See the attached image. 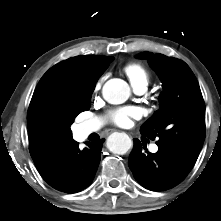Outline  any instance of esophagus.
I'll use <instances>...</instances> for the list:
<instances>
[{
  "label": "esophagus",
  "mask_w": 221,
  "mask_h": 221,
  "mask_svg": "<svg viewBox=\"0 0 221 221\" xmlns=\"http://www.w3.org/2000/svg\"><path fill=\"white\" fill-rule=\"evenodd\" d=\"M110 133H112V130H108V131L106 132V134H110Z\"/></svg>",
  "instance_id": "obj_1"
}]
</instances>
